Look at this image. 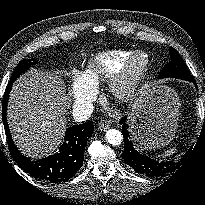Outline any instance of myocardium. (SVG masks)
<instances>
[{
    "label": "myocardium",
    "instance_id": "f54148a6",
    "mask_svg": "<svg viewBox=\"0 0 205 205\" xmlns=\"http://www.w3.org/2000/svg\"><path fill=\"white\" fill-rule=\"evenodd\" d=\"M149 67L148 55L135 51L108 79L109 93L119 101H130L138 93Z\"/></svg>",
    "mask_w": 205,
    "mask_h": 205
}]
</instances>
